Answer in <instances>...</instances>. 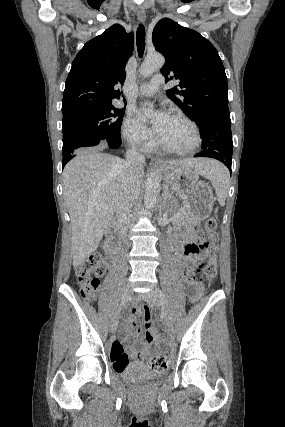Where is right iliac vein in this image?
<instances>
[{
	"instance_id": "63e3f726",
	"label": "right iliac vein",
	"mask_w": 285,
	"mask_h": 427,
	"mask_svg": "<svg viewBox=\"0 0 285 427\" xmlns=\"http://www.w3.org/2000/svg\"><path fill=\"white\" fill-rule=\"evenodd\" d=\"M131 294H132V290H131L130 286L126 285L123 289V294H122L123 299L125 301H127L130 298ZM118 320H119V312L112 319V322L110 325V330L112 333L115 332V330L117 328Z\"/></svg>"
}]
</instances>
